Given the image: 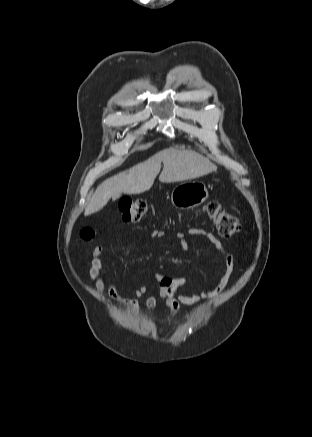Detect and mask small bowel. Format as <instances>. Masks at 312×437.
<instances>
[{"label":"small bowel","mask_w":312,"mask_h":437,"mask_svg":"<svg viewBox=\"0 0 312 437\" xmlns=\"http://www.w3.org/2000/svg\"><path fill=\"white\" fill-rule=\"evenodd\" d=\"M203 235L211 242L218 251L222 261V272L215 286L193 293L189 290V282L185 277H168L163 274H156L157 294H152L145 301L146 308L149 313L155 310L158 299H162L170 314H175L178 309L185 305H191L199 301L211 299L221 293L227 286L230 276L234 268V260L232 254L226 250L221 242L210 232L202 229L192 228L186 232L177 231L175 237L179 240L181 247L186 246L185 236ZM152 237H163L164 232L161 230H153ZM104 245H95L92 252L91 267L89 269V277L95 283L97 291L111 299L123 303L131 311L138 308V301L135 299H123L117 292L113 283L106 284L102 275ZM179 290H185V293L179 294ZM148 291L146 285H141L134 291L135 297H141Z\"/></svg>","instance_id":"small-bowel-1"}]
</instances>
